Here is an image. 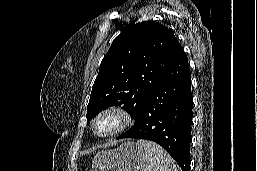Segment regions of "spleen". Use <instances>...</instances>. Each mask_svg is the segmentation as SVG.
<instances>
[{"label": "spleen", "instance_id": "spleen-1", "mask_svg": "<svg viewBox=\"0 0 257 171\" xmlns=\"http://www.w3.org/2000/svg\"><path fill=\"white\" fill-rule=\"evenodd\" d=\"M145 150L140 171H177V165L171 156L158 144L148 140H138Z\"/></svg>", "mask_w": 257, "mask_h": 171}]
</instances>
